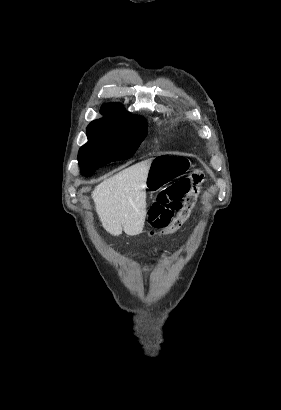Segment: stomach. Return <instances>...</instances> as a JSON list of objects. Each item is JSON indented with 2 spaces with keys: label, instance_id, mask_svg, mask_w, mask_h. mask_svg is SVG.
Instances as JSON below:
<instances>
[{
  "label": "stomach",
  "instance_id": "1",
  "mask_svg": "<svg viewBox=\"0 0 281 410\" xmlns=\"http://www.w3.org/2000/svg\"><path fill=\"white\" fill-rule=\"evenodd\" d=\"M190 168V161L181 155L162 154L153 158L148 170L146 187L151 191H159L174 178Z\"/></svg>",
  "mask_w": 281,
  "mask_h": 410
}]
</instances>
